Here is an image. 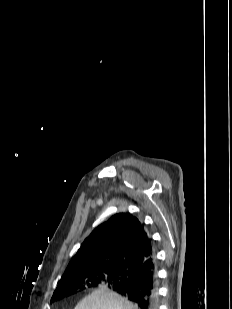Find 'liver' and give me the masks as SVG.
Returning <instances> with one entry per match:
<instances>
[{"label":"liver","instance_id":"1","mask_svg":"<svg viewBox=\"0 0 232 309\" xmlns=\"http://www.w3.org/2000/svg\"><path fill=\"white\" fill-rule=\"evenodd\" d=\"M74 309H139L126 298L110 291L108 288H100L83 298Z\"/></svg>","mask_w":232,"mask_h":309}]
</instances>
